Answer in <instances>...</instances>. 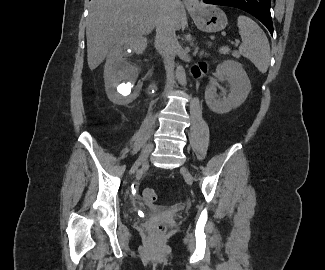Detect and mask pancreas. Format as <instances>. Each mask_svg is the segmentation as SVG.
Wrapping results in <instances>:
<instances>
[{"label":"pancreas","instance_id":"cf45deb5","mask_svg":"<svg viewBox=\"0 0 325 270\" xmlns=\"http://www.w3.org/2000/svg\"><path fill=\"white\" fill-rule=\"evenodd\" d=\"M233 56L236 57V58H239L240 57L239 53L236 52V51L233 53Z\"/></svg>","mask_w":325,"mask_h":270}]
</instances>
